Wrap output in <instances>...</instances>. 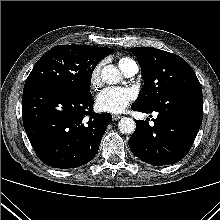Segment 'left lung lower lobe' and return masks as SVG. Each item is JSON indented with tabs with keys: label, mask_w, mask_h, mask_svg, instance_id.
<instances>
[{
	"label": "left lung lower lobe",
	"mask_w": 220,
	"mask_h": 220,
	"mask_svg": "<svg viewBox=\"0 0 220 220\" xmlns=\"http://www.w3.org/2000/svg\"><path fill=\"white\" fill-rule=\"evenodd\" d=\"M139 112H158L154 125L137 120L129 139L132 153L155 166L175 164L188 153L203 116L202 89L190 88L168 96L152 107L132 104Z\"/></svg>",
	"instance_id": "left-lung-lower-lobe-1"
}]
</instances>
